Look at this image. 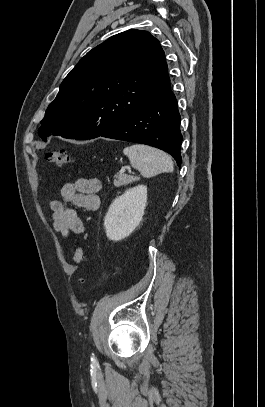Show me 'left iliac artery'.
Returning <instances> with one entry per match:
<instances>
[{
    "label": "left iliac artery",
    "instance_id": "1",
    "mask_svg": "<svg viewBox=\"0 0 265 407\" xmlns=\"http://www.w3.org/2000/svg\"><path fill=\"white\" fill-rule=\"evenodd\" d=\"M91 361L96 362V358H95L94 354H92V356H91Z\"/></svg>",
    "mask_w": 265,
    "mask_h": 407
}]
</instances>
